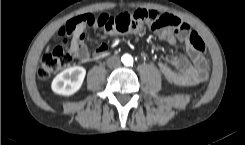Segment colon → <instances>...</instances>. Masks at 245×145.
Instances as JSON below:
<instances>
[{
    "label": "colon",
    "instance_id": "obj_1",
    "mask_svg": "<svg viewBox=\"0 0 245 145\" xmlns=\"http://www.w3.org/2000/svg\"><path fill=\"white\" fill-rule=\"evenodd\" d=\"M79 17L71 18L61 28L60 34L63 37V45L49 48L45 51L38 68L40 78L46 79L59 69L70 66L71 52L68 40L74 32V27L80 22ZM86 20L91 26L95 25L109 32L120 33L127 32L141 25L166 28L171 31H178L182 28V22L178 18L167 13L146 9L124 11L117 15L109 13L89 14L86 16ZM189 42L198 52H205V43L196 33L190 35Z\"/></svg>",
    "mask_w": 245,
    "mask_h": 145
}]
</instances>
